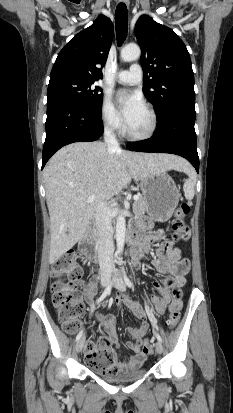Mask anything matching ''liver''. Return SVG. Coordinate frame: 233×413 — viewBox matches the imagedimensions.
Instances as JSON below:
<instances>
[{"mask_svg": "<svg viewBox=\"0 0 233 413\" xmlns=\"http://www.w3.org/2000/svg\"><path fill=\"white\" fill-rule=\"evenodd\" d=\"M190 170L168 154L109 149L103 142H76L57 151L44 168L50 216L49 262L53 264L85 234L100 202L117 195L132 179L155 172ZM96 196L87 202L89 196Z\"/></svg>", "mask_w": 233, "mask_h": 413, "instance_id": "6515ba94", "label": "liver"}]
</instances>
